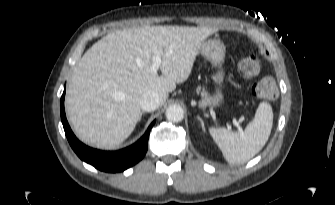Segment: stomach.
<instances>
[{"label":"stomach","instance_id":"1","mask_svg":"<svg viewBox=\"0 0 335 205\" xmlns=\"http://www.w3.org/2000/svg\"><path fill=\"white\" fill-rule=\"evenodd\" d=\"M225 52V45L218 39L204 41L200 48V54L210 61L215 68H218L217 72L212 76L213 81L218 86L212 97L217 104L223 101L222 84L224 81V71L222 64L225 60Z\"/></svg>","mask_w":335,"mask_h":205}]
</instances>
